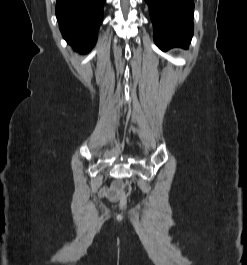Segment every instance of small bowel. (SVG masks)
<instances>
[{
    "label": "small bowel",
    "instance_id": "obj_1",
    "mask_svg": "<svg viewBox=\"0 0 247 265\" xmlns=\"http://www.w3.org/2000/svg\"><path fill=\"white\" fill-rule=\"evenodd\" d=\"M120 191H121V183L115 182L111 186L103 187L100 190L99 195L102 198H105L109 201H116V200H118V198L120 196Z\"/></svg>",
    "mask_w": 247,
    "mask_h": 265
}]
</instances>
